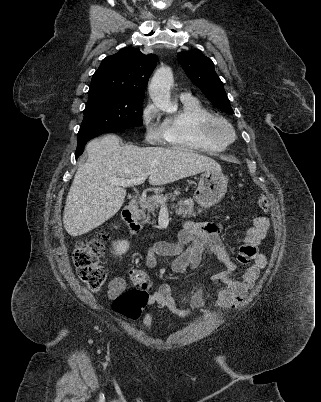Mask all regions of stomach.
I'll return each mask as SVG.
<instances>
[{"label":"stomach","mask_w":321,"mask_h":402,"mask_svg":"<svg viewBox=\"0 0 321 402\" xmlns=\"http://www.w3.org/2000/svg\"><path fill=\"white\" fill-rule=\"evenodd\" d=\"M227 184L228 180L221 171L206 170L201 174L194 199L201 207L209 208L224 197Z\"/></svg>","instance_id":"0dacf381"}]
</instances>
